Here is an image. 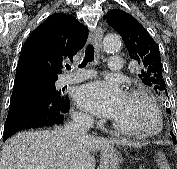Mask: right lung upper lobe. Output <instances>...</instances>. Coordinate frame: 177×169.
<instances>
[{"label":"right lung upper lobe","mask_w":177,"mask_h":169,"mask_svg":"<svg viewBox=\"0 0 177 169\" xmlns=\"http://www.w3.org/2000/svg\"><path fill=\"white\" fill-rule=\"evenodd\" d=\"M88 29L72 15L53 14L27 38L16 74H38L58 79L63 63L84 47Z\"/></svg>","instance_id":"cb5924a9"}]
</instances>
